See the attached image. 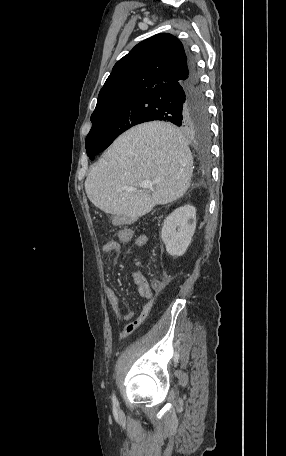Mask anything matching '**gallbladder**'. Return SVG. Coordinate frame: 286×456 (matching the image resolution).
Returning a JSON list of instances; mask_svg holds the SVG:
<instances>
[{
    "label": "gallbladder",
    "mask_w": 286,
    "mask_h": 456,
    "mask_svg": "<svg viewBox=\"0 0 286 456\" xmlns=\"http://www.w3.org/2000/svg\"><path fill=\"white\" fill-rule=\"evenodd\" d=\"M115 219H119L118 217H114Z\"/></svg>",
    "instance_id": "bac80fb5"
}]
</instances>
